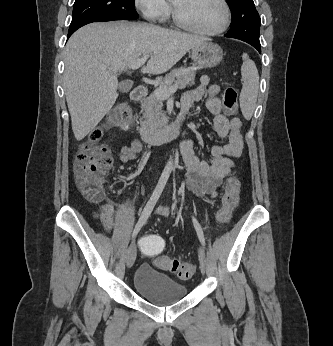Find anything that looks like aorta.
<instances>
[{
    "label": "aorta",
    "mask_w": 333,
    "mask_h": 346,
    "mask_svg": "<svg viewBox=\"0 0 333 346\" xmlns=\"http://www.w3.org/2000/svg\"><path fill=\"white\" fill-rule=\"evenodd\" d=\"M173 166H174L173 160L170 158L169 161L167 162L166 167L167 168H173Z\"/></svg>",
    "instance_id": "obj_1"
}]
</instances>
